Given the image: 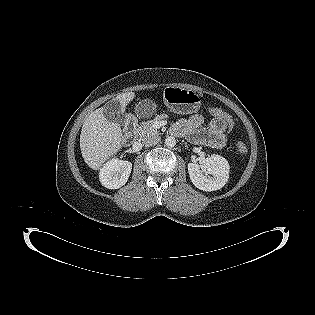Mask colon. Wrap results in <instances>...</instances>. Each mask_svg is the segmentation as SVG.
<instances>
[{
  "instance_id": "1",
  "label": "colon",
  "mask_w": 315,
  "mask_h": 315,
  "mask_svg": "<svg viewBox=\"0 0 315 315\" xmlns=\"http://www.w3.org/2000/svg\"><path fill=\"white\" fill-rule=\"evenodd\" d=\"M210 113L212 116H214L215 118H221L225 121L226 125L228 126V130L229 131H234L235 130V118L231 117L230 113H227L223 110H221V107H211L209 109ZM234 150L239 153V154H246L248 151V148L246 146V144H244L243 142H238L235 144L234 146Z\"/></svg>"
}]
</instances>
